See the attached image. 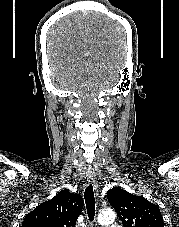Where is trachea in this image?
Masks as SVG:
<instances>
[{
    "label": "trachea",
    "mask_w": 179,
    "mask_h": 227,
    "mask_svg": "<svg viewBox=\"0 0 179 227\" xmlns=\"http://www.w3.org/2000/svg\"><path fill=\"white\" fill-rule=\"evenodd\" d=\"M84 199L87 207L88 218L90 221H93L95 216V198L92 184L85 189Z\"/></svg>",
    "instance_id": "1"
}]
</instances>
